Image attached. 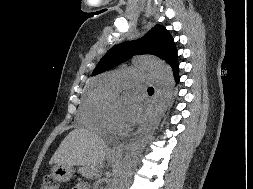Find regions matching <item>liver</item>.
<instances>
[{
  "instance_id": "1",
  "label": "liver",
  "mask_w": 253,
  "mask_h": 189,
  "mask_svg": "<svg viewBox=\"0 0 253 189\" xmlns=\"http://www.w3.org/2000/svg\"><path fill=\"white\" fill-rule=\"evenodd\" d=\"M107 154L108 147L97 134L77 128L64 138L49 164L82 166L83 174L93 178L101 175L100 167Z\"/></svg>"
}]
</instances>
